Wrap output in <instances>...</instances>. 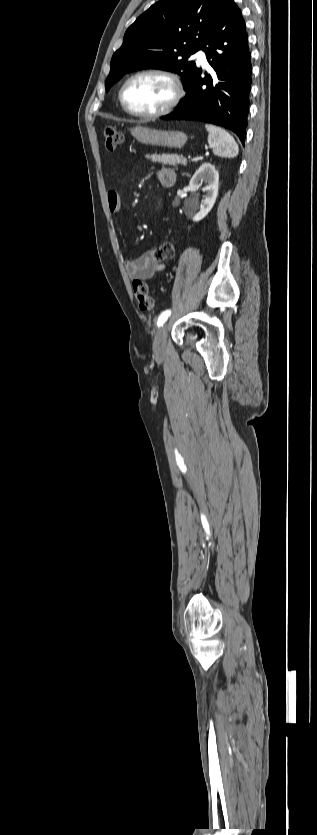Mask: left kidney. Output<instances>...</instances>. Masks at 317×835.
<instances>
[{
	"instance_id": "left-kidney-1",
	"label": "left kidney",
	"mask_w": 317,
	"mask_h": 835,
	"mask_svg": "<svg viewBox=\"0 0 317 835\" xmlns=\"http://www.w3.org/2000/svg\"><path fill=\"white\" fill-rule=\"evenodd\" d=\"M203 182L206 183V185L202 188V191L206 192V194L203 196L201 201L200 210L192 218L194 222H198L205 218L213 208L217 199L219 189V173L215 166L209 162L203 163L199 169L196 170L189 182V187L192 190L198 189L201 187Z\"/></svg>"
}]
</instances>
